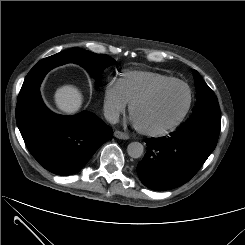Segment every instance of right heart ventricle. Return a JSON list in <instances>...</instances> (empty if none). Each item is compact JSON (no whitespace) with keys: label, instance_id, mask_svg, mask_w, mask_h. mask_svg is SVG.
Instances as JSON below:
<instances>
[{"label":"right heart ventricle","instance_id":"e07e8e85","mask_svg":"<svg viewBox=\"0 0 245 245\" xmlns=\"http://www.w3.org/2000/svg\"><path fill=\"white\" fill-rule=\"evenodd\" d=\"M173 79L171 76L158 72L129 71L119 78L118 83L125 100L130 104L155 86Z\"/></svg>","mask_w":245,"mask_h":245}]
</instances>
